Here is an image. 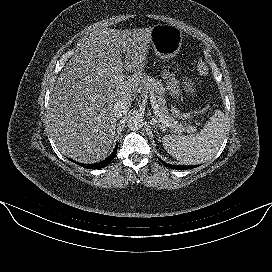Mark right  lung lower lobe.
<instances>
[{"label": "right lung lower lobe", "mask_w": 272, "mask_h": 272, "mask_svg": "<svg viewBox=\"0 0 272 272\" xmlns=\"http://www.w3.org/2000/svg\"><path fill=\"white\" fill-rule=\"evenodd\" d=\"M116 153H117V146L114 149L113 153L106 160L102 162L90 164V165L80 164V163H77V164L88 169H100V168L106 167L115 158Z\"/></svg>", "instance_id": "1"}]
</instances>
